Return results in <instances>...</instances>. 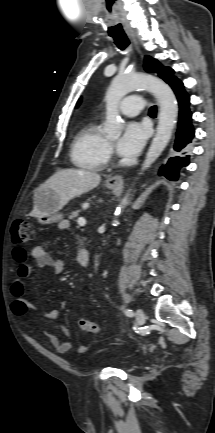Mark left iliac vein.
<instances>
[{
	"instance_id": "left-iliac-vein-1",
	"label": "left iliac vein",
	"mask_w": 215,
	"mask_h": 433,
	"mask_svg": "<svg viewBox=\"0 0 215 433\" xmlns=\"http://www.w3.org/2000/svg\"><path fill=\"white\" fill-rule=\"evenodd\" d=\"M136 320L139 326L143 325L145 322V314L141 308L136 310Z\"/></svg>"
}]
</instances>
